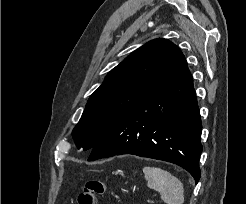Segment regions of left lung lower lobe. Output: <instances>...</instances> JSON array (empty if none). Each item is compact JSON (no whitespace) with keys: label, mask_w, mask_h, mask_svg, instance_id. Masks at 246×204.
Segmentation results:
<instances>
[{"label":"left lung lower lobe","mask_w":246,"mask_h":204,"mask_svg":"<svg viewBox=\"0 0 246 204\" xmlns=\"http://www.w3.org/2000/svg\"><path fill=\"white\" fill-rule=\"evenodd\" d=\"M202 124L186 68L117 121L95 144L88 161L133 154L177 164L200 179Z\"/></svg>","instance_id":"0a47b994"}]
</instances>
